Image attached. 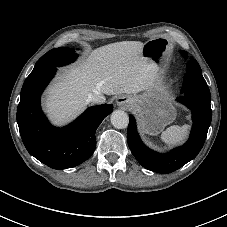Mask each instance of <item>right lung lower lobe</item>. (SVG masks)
I'll use <instances>...</instances> for the list:
<instances>
[{
	"instance_id": "1",
	"label": "right lung lower lobe",
	"mask_w": 227,
	"mask_h": 227,
	"mask_svg": "<svg viewBox=\"0 0 227 227\" xmlns=\"http://www.w3.org/2000/svg\"><path fill=\"white\" fill-rule=\"evenodd\" d=\"M55 71L56 67H52L25 80L17 123L28 152L45 165L60 170L77 166L93 154L96 129L113 111V105L90 107L70 125L53 127L41 111L40 96Z\"/></svg>"
}]
</instances>
